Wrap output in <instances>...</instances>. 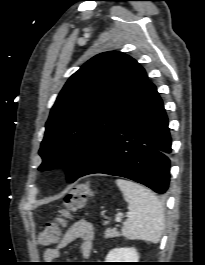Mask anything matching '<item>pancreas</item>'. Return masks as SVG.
<instances>
[{"label":"pancreas","instance_id":"obj_1","mask_svg":"<svg viewBox=\"0 0 205 265\" xmlns=\"http://www.w3.org/2000/svg\"><path fill=\"white\" fill-rule=\"evenodd\" d=\"M119 232L117 231V228H108L105 231V238H113L119 236Z\"/></svg>","mask_w":205,"mask_h":265}]
</instances>
